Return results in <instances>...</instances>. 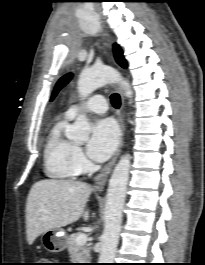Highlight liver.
<instances>
[{"label":"liver","mask_w":205,"mask_h":265,"mask_svg":"<svg viewBox=\"0 0 205 265\" xmlns=\"http://www.w3.org/2000/svg\"><path fill=\"white\" fill-rule=\"evenodd\" d=\"M92 187L71 180H41L31 187L26 203V233L28 244L41 234L60 229L79 220L89 219L85 209Z\"/></svg>","instance_id":"liver-1"}]
</instances>
